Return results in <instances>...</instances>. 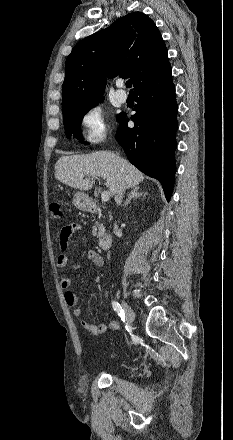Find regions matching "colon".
Instances as JSON below:
<instances>
[{"label": "colon", "instance_id": "obj_1", "mask_svg": "<svg viewBox=\"0 0 233 440\" xmlns=\"http://www.w3.org/2000/svg\"><path fill=\"white\" fill-rule=\"evenodd\" d=\"M50 216L54 220H61L63 217V212L61 205L58 202H54L50 205Z\"/></svg>", "mask_w": 233, "mask_h": 440}]
</instances>
